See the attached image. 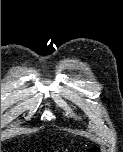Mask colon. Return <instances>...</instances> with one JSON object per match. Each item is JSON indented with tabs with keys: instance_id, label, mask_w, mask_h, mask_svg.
Returning <instances> with one entry per match:
<instances>
[{
	"instance_id": "colon-1",
	"label": "colon",
	"mask_w": 123,
	"mask_h": 152,
	"mask_svg": "<svg viewBox=\"0 0 123 152\" xmlns=\"http://www.w3.org/2000/svg\"><path fill=\"white\" fill-rule=\"evenodd\" d=\"M89 152H101L99 148H92Z\"/></svg>"
}]
</instances>
